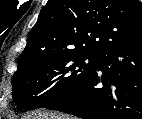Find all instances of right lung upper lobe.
Masks as SVG:
<instances>
[{"label": "right lung upper lobe", "mask_w": 142, "mask_h": 119, "mask_svg": "<svg viewBox=\"0 0 142 119\" xmlns=\"http://www.w3.org/2000/svg\"><path fill=\"white\" fill-rule=\"evenodd\" d=\"M140 40L138 0H48L28 34L18 69L65 51L101 55Z\"/></svg>", "instance_id": "right-lung-upper-lobe-1"}]
</instances>
